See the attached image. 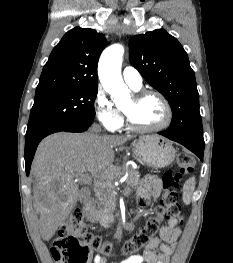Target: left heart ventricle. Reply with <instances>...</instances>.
<instances>
[{"instance_id":"b2bd125f","label":"left heart ventricle","mask_w":233,"mask_h":263,"mask_svg":"<svg viewBox=\"0 0 233 263\" xmlns=\"http://www.w3.org/2000/svg\"><path fill=\"white\" fill-rule=\"evenodd\" d=\"M137 126L154 127L165 120V109L161 101L155 96H147L140 101H135L132 96L123 107Z\"/></svg>"}]
</instances>
